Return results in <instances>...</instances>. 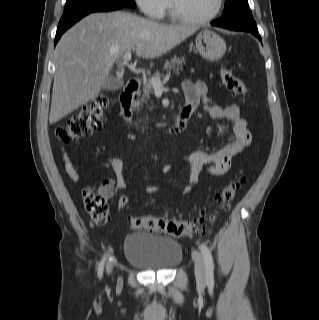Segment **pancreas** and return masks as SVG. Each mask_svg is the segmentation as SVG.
I'll return each mask as SVG.
<instances>
[{"instance_id":"pancreas-1","label":"pancreas","mask_w":319,"mask_h":320,"mask_svg":"<svg viewBox=\"0 0 319 320\" xmlns=\"http://www.w3.org/2000/svg\"><path fill=\"white\" fill-rule=\"evenodd\" d=\"M184 62L183 58H179L177 56H174L170 62H166L164 65V68L166 70H173L174 72L178 73L180 69H182V63ZM162 77V74L159 72L154 73L152 79H160ZM153 87L152 84L149 82L144 83L143 85V95L142 97L137 101V107L143 106V104L151 105L152 107V101H150V93H152Z\"/></svg>"}]
</instances>
